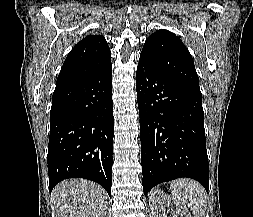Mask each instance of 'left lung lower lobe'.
Returning <instances> with one entry per match:
<instances>
[{
    "instance_id": "obj_1",
    "label": "left lung lower lobe",
    "mask_w": 253,
    "mask_h": 217,
    "mask_svg": "<svg viewBox=\"0 0 253 217\" xmlns=\"http://www.w3.org/2000/svg\"><path fill=\"white\" fill-rule=\"evenodd\" d=\"M142 185L189 177L209 189L202 94L140 58L136 72Z\"/></svg>"
}]
</instances>
